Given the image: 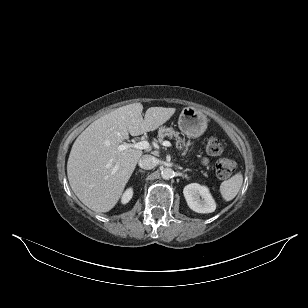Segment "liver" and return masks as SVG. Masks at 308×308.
Instances as JSON below:
<instances>
[{
	"label": "liver",
	"instance_id": "1",
	"mask_svg": "<svg viewBox=\"0 0 308 308\" xmlns=\"http://www.w3.org/2000/svg\"><path fill=\"white\" fill-rule=\"evenodd\" d=\"M142 110L141 103L119 107L92 122L75 140L67 175L73 192L88 208L96 212L111 210L143 154L135 148L120 152L118 146L129 134L138 136L157 129L176 111L150 107L143 118Z\"/></svg>",
	"mask_w": 308,
	"mask_h": 308
}]
</instances>
